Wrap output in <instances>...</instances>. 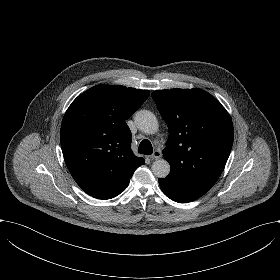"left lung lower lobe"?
Segmentation results:
<instances>
[{
  "label": "left lung lower lobe",
  "mask_w": 280,
  "mask_h": 280,
  "mask_svg": "<svg viewBox=\"0 0 280 280\" xmlns=\"http://www.w3.org/2000/svg\"><path fill=\"white\" fill-rule=\"evenodd\" d=\"M159 184L162 191L170 199L179 203L192 202L201 196H203L209 189L208 188H177L173 182H170L164 178L159 179Z\"/></svg>",
  "instance_id": "1"
}]
</instances>
